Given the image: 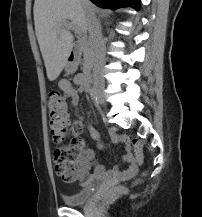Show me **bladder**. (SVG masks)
<instances>
[{
  "label": "bladder",
  "instance_id": "obj_1",
  "mask_svg": "<svg viewBox=\"0 0 202 217\" xmlns=\"http://www.w3.org/2000/svg\"><path fill=\"white\" fill-rule=\"evenodd\" d=\"M95 178L93 176L87 177L81 183V188L73 194L63 196V201L68 206L82 205L93 195V185Z\"/></svg>",
  "mask_w": 202,
  "mask_h": 217
}]
</instances>
